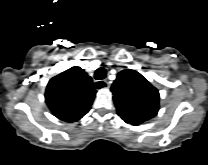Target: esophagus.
<instances>
[{
  "label": "esophagus",
  "instance_id": "1",
  "mask_svg": "<svg viewBox=\"0 0 208 165\" xmlns=\"http://www.w3.org/2000/svg\"><path fill=\"white\" fill-rule=\"evenodd\" d=\"M96 84H99V85L103 86L102 88H109L110 87V85H109V83H108L107 80H104V81H96L95 82V86H96Z\"/></svg>",
  "mask_w": 208,
  "mask_h": 165
}]
</instances>
